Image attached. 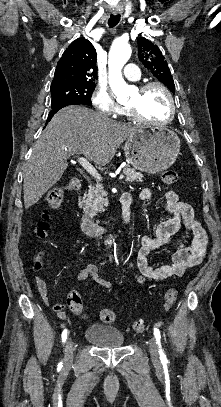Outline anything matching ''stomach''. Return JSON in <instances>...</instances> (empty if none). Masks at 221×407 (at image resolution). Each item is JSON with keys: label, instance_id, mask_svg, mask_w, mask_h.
<instances>
[{"label": "stomach", "instance_id": "1", "mask_svg": "<svg viewBox=\"0 0 221 407\" xmlns=\"http://www.w3.org/2000/svg\"><path fill=\"white\" fill-rule=\"evenodd\" d=\"M127 162L135 169L156 174L168 169L180 151V139L167 128L139 127L125 142Z\"/></svg>", "mask_w": 221, "mask_h": 407}]
</instances>
